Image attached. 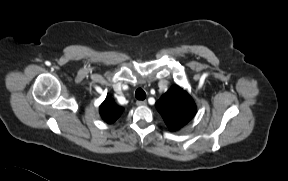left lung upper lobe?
<instances>
[{
	"instance_id": "left-lung-upper-lobe-1",
	"label": "left lung upper lobe",
	"mask_w": 288,
	"mask_h": 181,
	"mask_svg": "<svg viewBox=\"0 0 288 181\" xmlns=\"http://www.w3.org/2000/svg\"><path fill=\"white\" fill-rule=\"evenodd\" d=\"M156 108L170 131H177L196 114V105L181 87L172 86L157 102Z\"/></svg>"
}]
</instances>
